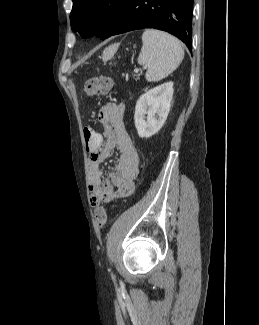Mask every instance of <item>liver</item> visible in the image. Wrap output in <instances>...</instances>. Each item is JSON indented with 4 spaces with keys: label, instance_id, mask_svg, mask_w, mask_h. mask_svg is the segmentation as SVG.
I'll use <instances>...</instances> for the list:
<instances>
[{
    "label": "liver",
    "instance_id": "obj_1",
    "mask_svg": "<svg viewBox=\"0 0 259 325\" xmlns=\"http://www.w3.org/2000/svg\"><path fill=\"white\" fill-rule=\"evenodd\" d=\"M116 45H110L103 51L102 60H108L115 52Z\"/></svg>",
    "mask_w": 259,
    "mask_h": 325
}]
</instances>
